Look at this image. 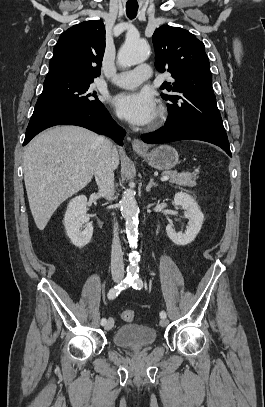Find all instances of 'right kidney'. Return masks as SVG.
<instances>
[{
  "label": "right kidney",
  "mask_w": 265,
  "mask_h": 407,
  "mask_svg": "<svg viewBox=\"0 0 265 407\" xmlns=\"http://www.w3.org/2000/svg\"><path fill=\"white\" fill-rule=\"evenodd\" d=\"M63 224L72 244L78 248L86 246L93 235V226L87 215V197L84 195L73 198L67 207ZM85 224L84 230L82 225Z\"/></svg>",
  "instance_id": "ca27d5eb"
}]
</instances>
